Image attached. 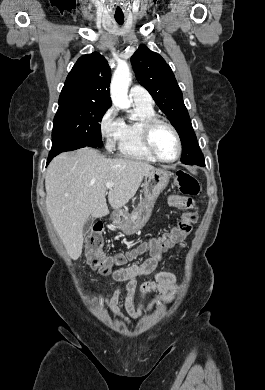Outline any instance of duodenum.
I'll return each mask as SVG.
<instances>
[{
    "label": "duodenum",
    "mask_w": 265,
    "mask_h": 390,
    "mask_svg": "<svg viewBox=\"0 0 265 390\" xmlns=\"http://www.w3.org/2000/svg\"><path fill=\"white\" fill-rule=\"evenodd\" d=\"M111 219H112L113 221H116V220L118 219V215H117V214H112V215H111Z\"/></svg>",
    "instance_id": "1"
}]
</instances>
